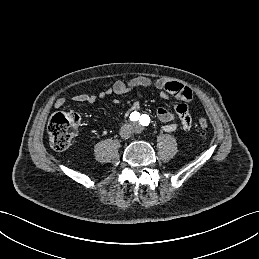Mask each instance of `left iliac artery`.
<instances>
[{
	"instance_id": "1",
	"label": "left iliac artery",
	"mask_w": 259,
	"mask_h": 259,
	"mask_svg": "<svg viewBox=\"0 0 259 259\" xmlns=\"http://www.w3.org/2000/svg\"><path fill=\"white\" fill-rule=\"evenodd\" d=\"M140 124L143 125V126H148V124L150 123V117L146 114H143L141 117H140Z\"/></svg>"
}]
</instances>
